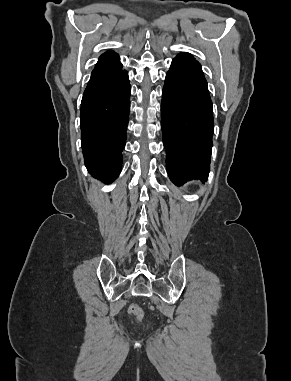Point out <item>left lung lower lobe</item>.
<instances>
[{"label": "left lung lower lobe", "mask_w": 291, "mask_h": 381, "mask_svg": "<svg viewBox=\"0 0 291 381\" xmlns=\"http://www.w3.org/2000/svg\"><path fill=\"white\" fill-rule=\"evenodd\" d=\"M161 128L170 180L180 186L206 181L210 170L213 106L201 65L187 52L178 54L166 75Z\"/></svg>", "instance_id": "1"}]
</instances>
